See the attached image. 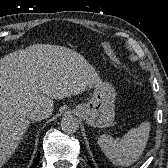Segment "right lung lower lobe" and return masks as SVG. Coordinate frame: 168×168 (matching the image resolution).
I'll list each match as a JSON object with an SVG mask.
<instances>
[{
  "label": "right lung lower lobe",
  "mask_w": 168,
  "mask_h": 168,
  "mask_svg": "<svg viewBox=\"0 0 168 168\" xmlns=\"http://www.w3.org/2000/svg\"><path fill=\"white\" fill-rule=\"evenodd\" d=\"M39 157H40V155L37 156V158H36L34 164L31 166V168H36V167H37V164H38V162H39Z\"/></svg>",
  "instance_id": "obj_1"
}]
</instances>
